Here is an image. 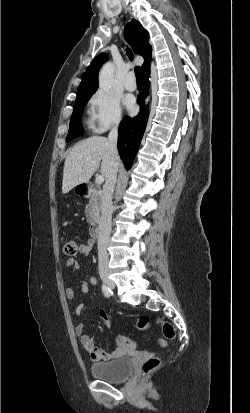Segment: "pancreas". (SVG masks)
<instances>
[{
  "mask_svg": "<svg viewBox=\"0 0 250 413\" xmlns=\"http://www.w3.org/2000/svg\"><path fill=\"white\" fill-rule=\"evenodd\" d=\"M101 210V196L97 191H93L90 194V200L85 209V214L87 221L91 224H94L99 219V214Z\"/></svg>",
  "mask_w": 250,
  "mask_h": 413,
  "instance_id": "1",
  "label": "pancreas"
}]
</instances>
